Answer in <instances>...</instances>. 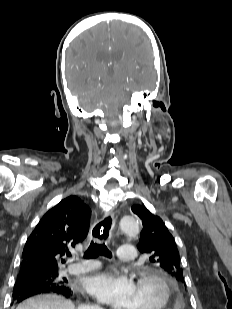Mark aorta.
Masks as SVG:
<instances>
[{
    "mask_svg": "<svg viewBox=\"0 0 232 309\" xmlns=\"http://www.w3.org/2000/svg\"><path fill=\"white\" fill-rule=\"evenodd\" d=\"M121 230L127 235H136L139 232V223L136 217L125 216L120 220Z\"/></svg>",
    "mask_w": 232,
    "mask_h": 309,
    "instance_id": "aorta-1",
    "label": "aorta"
}]
</instances>
